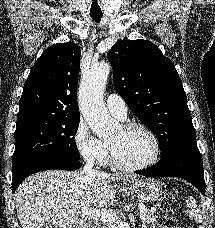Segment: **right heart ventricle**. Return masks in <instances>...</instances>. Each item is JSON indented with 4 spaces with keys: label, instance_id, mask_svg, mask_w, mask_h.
I'll return each mask as SVG.
<instances>
[{
    "label": "right heart ventricle",
    "instance_id": "e07e8e85",
    "mask_svg": "<svg viewBox=\"0 0 215 228\" xmlns=\"http://www.w3.org/2000/svg\"><path fill=\"white\" fill-rule=\"evenodd\" d=\"M105 146H106V148H107V145L106 144H104ZM107 150H108V148H107Z\"/></svg>",
    "mask_w": 215,
    "mask_h": 228
}]
</instances>
